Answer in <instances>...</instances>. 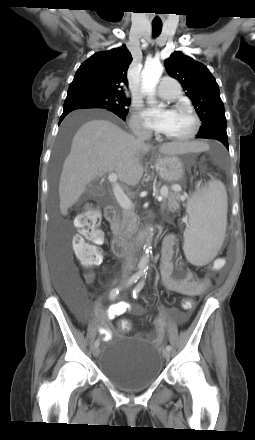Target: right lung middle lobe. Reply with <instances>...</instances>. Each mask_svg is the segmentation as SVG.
I'll return each instance as SVG.
<instances>
[{
    "instance_id": "obj_1",
    "label": "right lung middle lobe",
    "mask_w": 255,
    "mask_h": 440,
    "mask_svg": "<svg viewBox=\"0 0 255 440\" xmlns=\"http://www.w3.org/2000/svg\"><path fill=\"white\" fill-rule=\"evenodd\" d=\"M129 105L130 100L126 99L125 95L90 92L66 97L64 109L103 108L125 118L128 112L126 107Z\"/></svg>"
}]
</instances>
